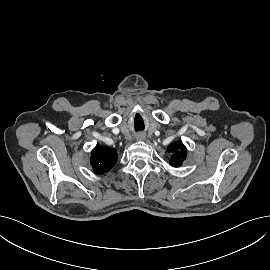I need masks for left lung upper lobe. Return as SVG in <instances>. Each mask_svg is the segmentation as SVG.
I'll return each instance as SVG.
<instances>
[{"mask_svg":"<svg viewBox=\"0 0 270 270\" xmlns=\"http://www.w3.org/2000/svg\"><path fill=\"white\" fill-rule=\"evenodd\" d=\"M168 153H173L169 163L173 167H179L182 164V160L186 156V147L181 143L177 142L168 147Z\"/></svg>","mask_w":270,"mask_h":270,"instance_id":"obj_1","label":"left lung upper lobe"}]
</instances>
